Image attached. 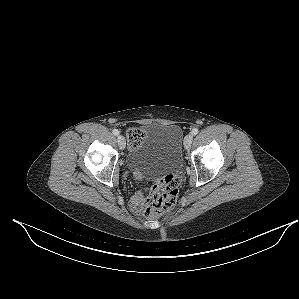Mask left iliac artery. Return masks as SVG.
I'll return each mask as SVG.
<instances>
[{
	"mask_svg": "<svg viewBox=\"0 0 299 299\" xmlns=\"http://www.w3.org/2000/svg\"><path fill=\"white\" fill-rule=\"evenodd\" d=\"M198 132L199 130L197 128H193L191 134L195 136L196 134H198Z\"/></svg>",
	"mask_w": 299,
	"mask_h": 299,
	"instance_id": "1",
	"label": "left iliac artery"
}]
</instances>
